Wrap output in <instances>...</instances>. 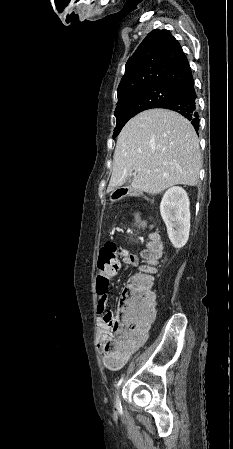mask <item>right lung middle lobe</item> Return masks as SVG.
I'll return each mask as SVG.
<instances>
[{
    "mask_svg": "<svg viewBox=\"0 0 233 449\" xmlns=\"http://www.w3.org/2000/svg\"><path fill=\"white\" fill-rule=\"evenodd\" d=\"M178 95L179 91L176 87L155 85L119 97L115 109L116 128L113 138L120 133L126 122L136 114L156 108L161 103L176 98Z\"/></svg>",
    "mask_w": 233,
    "mask_h": 449,
    "instance_id": "dd1d6c3e",
    "label": "right lung middle lobe"
}]
</instances>
